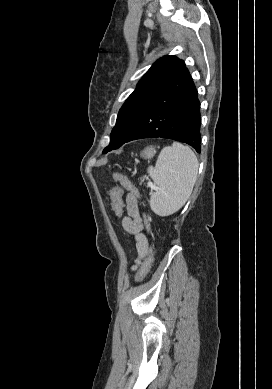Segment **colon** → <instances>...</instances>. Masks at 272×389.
<instances>
[{
    "mask_svg": "<svg viewBox=\"0 0 272 389\" xmlns=\"http://www.w3.org/2000/svg\"><path fill=\"white\" fill-rule=\"evenodd\" d=\"M113 179L118 184L111 190L112 210L117 217L122 215L124 210L125 201L123 200L122 188L129 191L131 194L138 196V191L135 185L122 173L114 172ZM153 262V252L149 249L146 258L144 259L141 268L139 270L137 280L142 281L150 272Z\"/></svg>",
    "mask_w": 272,
    "mask_h": 389,
    "instance_id": "obj_1",
    "label": "colon"
}]
</instances>
